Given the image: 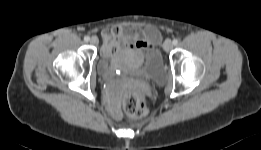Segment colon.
Masks as SVG:
<instances>
[{"instance_id":"colon-1","label":"colon","mask_w":261,"mask_h":150,"mask_svg":"<svg viewBox=\"0 0 261 150\" xmlns=\"http://www.w3.org/2000/svg\"><path fill=\"white\" fill-rule=\"evenodd\" d=\"M124 112L134 118H141L147 115L148 107L143 97L136 91H127L122 99Z\"/></svg>"}]
</instances>
